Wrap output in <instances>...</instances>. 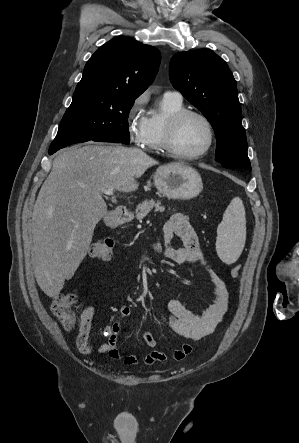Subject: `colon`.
Listing matches in <instances>:
<instances>
[{
	"instance_id": "obj_1",
	"label": "colon",
	"mask_w": 299,
	"mask_h": 443,
	"mask_svg": "<svg viewBox=\"0 0 299 443\" xmlns=\"http://www.w3.org/2000/svg\"><path fill=\"white\" fill-rule=\"evenodd\" d=\"M114 242L111 239H100L94 242L89 254L97 260H110L112 257ZM241 267L236 265L231 269L232 277L236 278L240 275ZM78 295L74 291L60 293L53 298L51 304L52 312L59 318L63 327L67 330L84 328V322L81 316L74 310Z\"/></svg>"
}]
</instances>
